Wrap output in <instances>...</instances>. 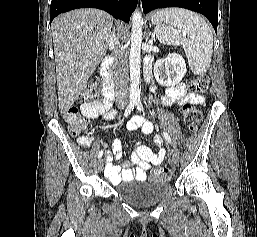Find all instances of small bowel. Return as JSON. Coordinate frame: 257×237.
Returning <instances> with one entry per match:
<instances>
[{"mask_svg": "<svg viewBox=\"0 0 257 237\" xmlns=\"http://www.w3.org/2000/svg\"><path fill=\"white\" fill-rule=\"evenodd\" d=\"M203 97L188 93L184 84H179L176 87H170L167 89L165 96L162 98V102L165 105H171L176 103L183 105L185 103L199 104L203 102ZM111 102L108 99H101L92 102H84L81 105L82 113L91 119L103 116L106 119L113 118L115 112L110 109ZM137 127L142 129L144 134H149L153 130L151 123L145 121L141 117H134L128 123V128L134 130ZM79 144L82 146H89L92 142V138L89 136H81L78 138ZM157 144H161L159 138L155 139ZM122 156V147L118 140L112 142L111 152L107 153V165L105 167V176L113 184H118L123 180H144L146 178V172L153 165H158L165 157V149L159 148L158 150L147 147L141 143L136 144L130 160L122 164V166L114 165L112 160L114 158L119 159Z\"/></svg>", "mask_w": 257, "mask_h": 237, "instance_id": "c3829d8e", "label": "small bowel"}]
</instances>
